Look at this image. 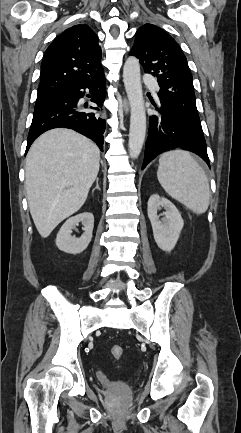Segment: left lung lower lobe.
<instances>
[{
	"instance_id": "1",
	"label": "left lung lower lobe",
	"mask_w": 241,
	"mask_h": 433,
	"mask_svg": "<svg viewBox=\"0 0 241 433\" xmlns=\"http://www.w3.org/2000/svg\"><path fill=\"white\" fill-rule=\"evenodd\" d=\"M155 108L157 113L149 118L142 169L157 155L179 147L196 153L210 167L203 133L191 127L166 104L155 105Z\"/></svg>"
}]
</instances>
